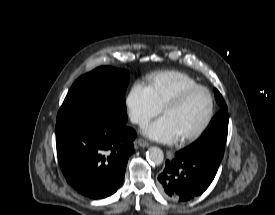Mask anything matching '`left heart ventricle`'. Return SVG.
I'll return each instance as SVG.
<instances>
[{
	"label": "left heart ventricle",
	"instance_id": "b2bd125f",
	"mask_svg": "<svg viewBox=\"0 0 275 215\" xmlns=\"http://www.w3.org/2000/svg\"><path fill=\"white\" fill-rule=\"evenodd\" d=\"M208 110V95L202 90H197L189 94L178 106L168 109L164 116L171 122L180 138L197 129L204 121Z\"/></svg>",
	"mask_w": 275,
	"mask_h": 215
}]
</instances>
